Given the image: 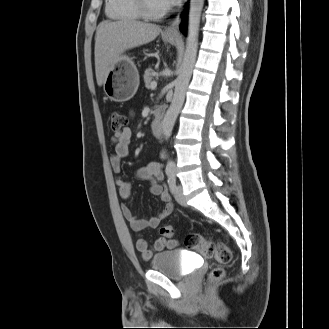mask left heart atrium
Wrapping results in <instances>:
<instances>
[{
    "instance_id": "obj_1",
    "label": "left heart atrium",
    "mask_w": 329,
    "mask_h": 329,
    "mask_svg": "<svg viewBox=\"0 0 329 329\" xmlns=\"http://www.w3.org/2000/svg\"><path fill=\"white\" fill-rule=\"evenodd\" d=\"M167 7L174 6L178 4L180 0H163Z\"/></svg>"
}]
</instances>
